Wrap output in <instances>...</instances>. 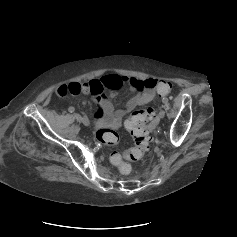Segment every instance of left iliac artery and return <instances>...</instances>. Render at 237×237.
I'll list each match as a JSON object with an SVG mask.
<instances>
[{
  "label": "left iliac artery",
  "instance_id": "44dca946",
  "mask_svg": "<svg viewBox=\"0 0 237 237\" xmlns=\"http://www.w3.org/2000/svg\"><path fill=\"white\" fill-rule=\"evenodd\" d=\"M162 102H163L164 104H166V103L168 102V99H167V98H163V99H162Z\"/></svg>",
  "mask_w": 237,
  "mask_h": 237
}]
</instances>
